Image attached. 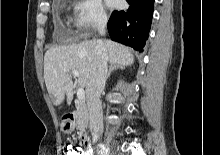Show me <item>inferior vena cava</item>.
Returning a JSON list of instances; mask_svg holds the SVG:
<instances>
[{
  "label": "inferior vena cava",
  "mask_w": 220,
  "mask_h": 155,
  "mask_svg": "<svg viewBox=\"0 0 220 155\" xmlns=\"http://www.w3.org/2000/svg\"><path fill=\"white\" fill-rule=\"evenodd\" d=\"M107 16L98 17L97 30L100 35L105 34ZM95 60L92 65L89 82L86 88L87 106L90 119V130L94 138L103 132V113L100 95L104 90L107 77V63L109 56L103 44H98L95 49Z\"/></svg>",
  "instance_id": "1"
}]
</instances>
